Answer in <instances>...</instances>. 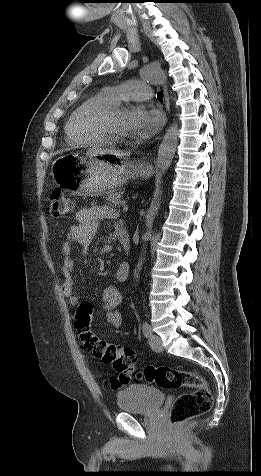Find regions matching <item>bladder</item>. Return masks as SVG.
Masks as SVG:
<instances>
[{
  "instance_id": "1",
  "label": "bladder",
  "mask_w": 261,
  "mask_h": 476,
  "mask_svg": "<svg viewBox=\"0 0 261 476\" xmlns=\"http://www.w3.org/2000/svg\"><path fill=\"white\" fill-rule=\"evenodd\" d=\"M164 400L162 390L147 384H132L117 394L119 410L131 414H152L161 407Z\"/></svg>"
}]
</instances>
